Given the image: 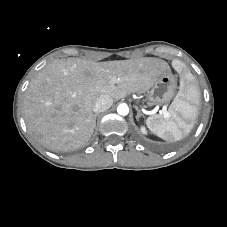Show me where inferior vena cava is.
I'll list each match as a JSON object with an SVG mask.
<instances>
[{
    "label": "inferior vena cava",
    "instance_id": "inferior-vena-cava-1",
    "mask_svg": "<svg viewBox=\"0 0 227 227\" xmlns=\"http://www.w3.org/2000/svg\"><path fill=\"white\" fill-rule=\"evenodd\" d=\"M113 104V99L110 96L103 95L95 103L93 111L100 113L109 109Z\"/></svg>",
    "mask_w": 227,
    "mask_h": 227
}]
</instances>
